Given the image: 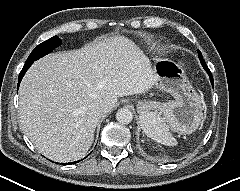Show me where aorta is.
<instances>
[{
	"instance_id": "obj_1",
	"label": "aorta",
	"mask_w": 240,
	"mask_h": 191,
	"mask_svg": "<svg viewBox=\"0 0 240 191\" xmlns=\"http://www.w3.org/2000/svg\"><path fill=\"white\" fill-rule=\"evenodd\" d=\"M116 119L119 123L129 124L133 120V113L128 108H121L116 113Z\"/></svg>"
}]
</instances>
